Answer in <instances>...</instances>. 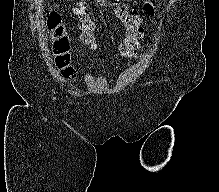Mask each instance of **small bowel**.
Here are the masks:
<instances>
[{
  "label": "small bowel",
  "instance_id": "small-bowel-1",
  "mask_svg": "<svg viewBox=\"0 0 219 192\" xmlns=\"http://www.w3.org/2000/svg\"><path fill=\"white\" fill-rule=\"evenodd\" d=\"M109 4L114 10L116 16L126 26V37L135 36L139 38L142 35L143 29L141 27L142 20L137 14L136 6L138 5V0H113ZM142 9L148 15L154 13V6L150 0H146L142 4ZM73 13L79 18L82 43L96 50L97 45L94 35V27L90 30H86L83 25L84 20L89 19V13L82 0L77 1V5L73 8Z\"/></svg>",
  "mask_w": 219,
  "mask_h": 192
}]
</instances>
